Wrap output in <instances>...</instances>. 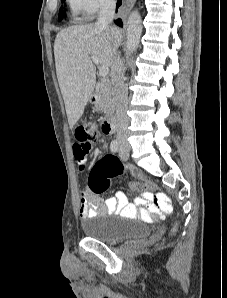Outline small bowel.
Wrapping results in <instances>:
<instances>
[{
    "label": "small bowel",
    "instance_id": "small-bowel-1",
    "mask_svg": "<svg viewBox=\"0 0 227 298\" xmlns=\"http://www.w3.org/2000/svg\"><path fill=\"white\" fill-rule=\"evenodd\" d=\"M73 151L72 158L76 159L77 168L83 171L86 167L89 151H92L93 142H81L80 139H71ZM155 193L151 190L141 191L135 203H129L122 191H117L113 197L103 200L99 194L90 189H83L80 193L79 216L81 219L92 218L98 214L121 215L128 218L140 217L150 221L154 216L162 217L164 212L155 208L153 204ZM171 211L167 205L165 212Z\"/></svg>",
    "mask_w": 227,
    "mask_h": 298
}]
</instances>
